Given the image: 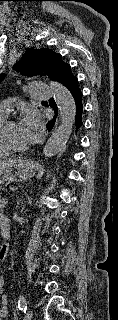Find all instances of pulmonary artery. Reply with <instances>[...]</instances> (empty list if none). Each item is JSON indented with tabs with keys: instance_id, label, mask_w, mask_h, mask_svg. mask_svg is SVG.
Masks as SVG:
<instances>
[{
	"instance_id": "1",
	"label": "pulmonary artery",
	"mask_w": 118,
	"mask_h": 320,
	"mask_svg": "<svg viewBox=\"0 0 118 320\" xmlns=\"http://www.w3.org/2000/svg\"><path fill=\"white\" fill-rule=\"evenodd\" d=\"M29 93L35 100H47L50 98V90L47 85L43 83H32L29 85ZM11 107L10 101L0 102V112L7 115Z\"/></svg>"
}]
</instances>
